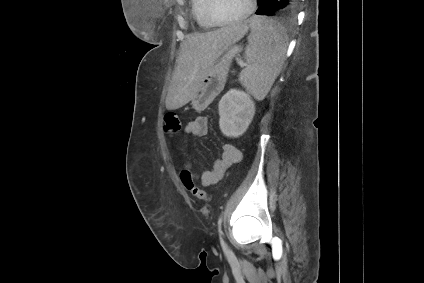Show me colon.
Segmentation results:
<instances>
[{"label": "colon", "instance_id": "1", "mask_svg": "<svg viewBox=\"0 0 424 283\" xmlns=\"http://www.w3.org/2000/svg\"><path fill=\"white\" fill-rule=\"evenodd\" d=\"M164 129L168 134L175 135L181 130V121L177 114L168 112L164 116ZM181 180L185 187L199 200L205 202L209 201V196L206 191L198 188L191 174L187 171H183L180 174Z\"/></svg>", "mask_w": 424, "mask_h": 283}]
</instances>
